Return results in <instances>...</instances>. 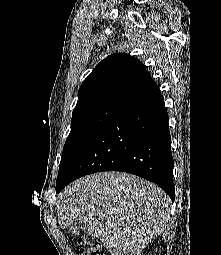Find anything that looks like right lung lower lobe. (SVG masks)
Listing matches in <instances>:
<instances>
[{
    "label": "right lung lower lobe",
    "instance_id": "obj_1",
    "mask_svg": "<svg viewBox=\"0 0 221 255\" xmlns=\"http://www.w3.org/2000/svg\"><path fill=\"white\" fill-rule=\"evenodd\" d=\"M168 113L157 84H152L110 116L65 177L56 193L87 174L123 171L160 186L174 200V161Z\"/></svg>",
    "mask_w": 221,
    "mask_h": 255
}]
</instances>
